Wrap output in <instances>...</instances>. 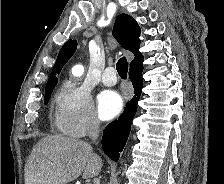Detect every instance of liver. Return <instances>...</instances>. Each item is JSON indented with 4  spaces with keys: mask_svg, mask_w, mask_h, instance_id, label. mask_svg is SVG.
<instances>
[{
    "mask_svg": "<svg viewBox=\"0 0 224 184\" xmlns=\"http://www.w3.org/2000/svg\"><path fill=\"white\" fill-rule=\"evenodd\" d=\"M99 155L86 141L61 134L47 135L33 148L25 165V184H67L82 173L97 176L102 168Z\"/></svg>",
    "mask_w": 224,
    "mask_h": 184,
    "instance_id": "1",
    "label": "liver"
}]
</instances>
